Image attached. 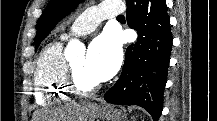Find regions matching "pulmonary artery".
<instances>
[{"mask_svg": "<svg viewBox=\"0 0 217 121\" xmlns=\"http://www.w3.org/2000/svg\"><path fill=\"white\" fill-rule=\"evenodd\" d=\"M123 11L124 8L118 2H103L92 6L73 21L68 31L63 33L62 38L90 33L102 20L119 17Z\"/></svg>", "mask_w": 217, "mask_h": 121, "instance_id": "e3ab8cb5", "label": "pulmonary artery"}]
</instances>
